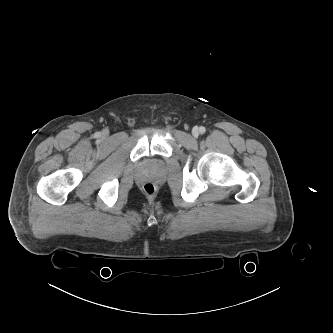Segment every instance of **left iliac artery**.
Returning <instances> with one entry per match:
<instances>
[{"instance_id": "left-iliac-artery-1", "label": "left iliac artery", "mask_w": 333, "mask_h": 333, "mask_svg": "<svg viewBox=\"0 0 333 333\" xmlns=\"http://www.w3.org/2000/svg\"><path fill=\"white\" fill-rule=\"evenodd\" d=\"M205 131H206L205 127L201 126V127L199 128V132H200L201 134L205 133Z\"/></svg>"}]
</instances>
